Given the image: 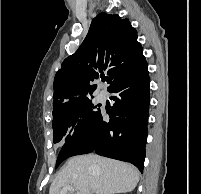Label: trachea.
<instances>
[{"label": "trachea", "instance_id": "3493384b", "mask_svg": "<svg viewBox=\"0 0 201 194\" xmlns=\"http://www.w3.org/2000/svg\"><path fill=\"white\" fill-rule=\"evenodd\" d=\"M102 81H103V82H105V81H107V79H106V78H104Z\"/></svg>", "mask_w": 201, "mask_h": 194}]
</instances>
